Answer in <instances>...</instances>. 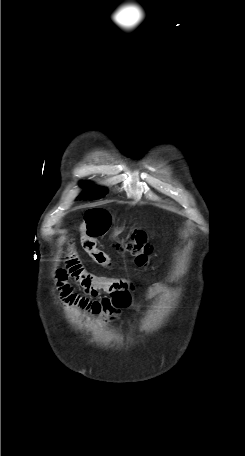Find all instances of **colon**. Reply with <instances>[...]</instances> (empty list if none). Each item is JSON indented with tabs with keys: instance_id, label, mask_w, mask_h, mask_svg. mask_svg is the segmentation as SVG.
I'll return each mask as SVG.
<instances>
[{
	"instance_id": "5ec220e1",
	"label": "colon",
	"mask_w": 245,
	"mask_h": 456,
	"mask_svg": "<svg viewBox=\"0 0 245 456\" xmlns=\"http://www.w3.org/2000/svg\"><path fill=\"white\" fill-rule=\"evenodd\" d=\"M151 249L146 234L141 231L134 232L126 243L117 245L118 251L130 254L141 267L147 265Z\"/></svg>"
}]
</instances>
